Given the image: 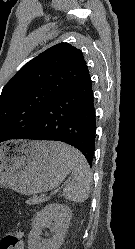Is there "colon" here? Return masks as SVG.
<instances>
[{"mask_svg": "<svg viewBox=\"0 0 135 249\" xmlns=\"http://www.w3.org/2000/svg\"><path fill=\"white\" fill-rule=\"evenodd\" d=\"M0 249H23V240L19 232L4 235L0 241Z\"/></svg>", "mask_w": 135, "mask_h": 249, "instance_id": "5ec220e1", "label": "colon"}]
</instances>
